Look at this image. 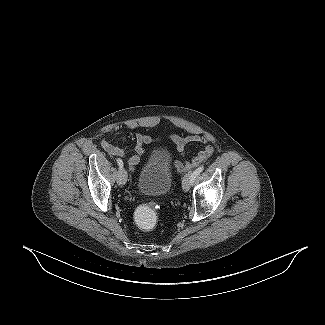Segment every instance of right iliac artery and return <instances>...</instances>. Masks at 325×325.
Masks as SVG:
<instances>
[{
  "instance_id": "obj_1",
  "label": "right iliac artery",
  "mask_w": 325,
  "mask_h": 325,
  "mask_svg": "<svg viewBox=\"0 0 325 325\" xmlns=\"http://www.w3.org/2000/svg\"><path fill=\"white\" fill-rule=\"evenodd\" d=\"M117 163H118L120 168L123 167V162H122V160L120 158L117 159Z\"/></svg>"
}]
</instances>
